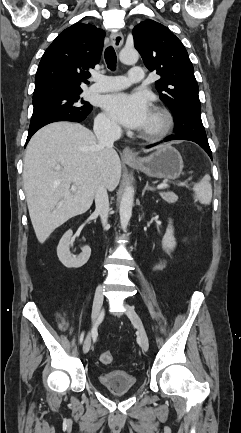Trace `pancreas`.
Here are the masks:
<instances>
[{"instance_id": "pancreas-1", "label": "pancreas", "mask_w": 241, "mask_h": 433, "mask_svg": "<svg viewBox=\"0 0 241 433\" xmlns=\"http://www.w3.org/2000/svg\"><path fill=\"white\" fill-rule=\"evenodd\" d=\"M160 196L169 204L175 203L178 200V196L173 192H161Z\"/></svg>"}]
</instances>
